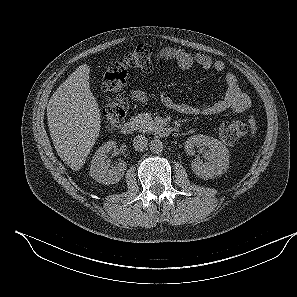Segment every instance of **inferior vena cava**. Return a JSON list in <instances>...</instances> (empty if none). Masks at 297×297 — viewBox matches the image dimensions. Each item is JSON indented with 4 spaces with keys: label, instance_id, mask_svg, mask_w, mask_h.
Returning <instances> with one entry per match:
<instances>
[{
    "label": "inferior vena cava",
    "instance_id": "1",
    "mask_svg": "<svg viewBox=\"0 0 297 297\" xmlns=\"http://www.w3.org/2000/svg\"><path fill=\"white\" fill-rule=\"evenodd\" d=\"M148 144V139L144 135H137L133 139V146L136 151H143L146 149Z\"/></svg>",
    "mask_w": 297,
    "mask_h": 297
}]
</instances>
